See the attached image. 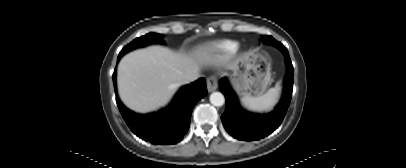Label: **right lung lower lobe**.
Returning <instances> with one entry per match:
<instances>
[{
	"label": "right lung lower lobe",
	"instance_id": "98d812e1",
	"mask_svg": "<svg viewBox=\"0 0 406 168\" xmlns=\"http://www.w3.org/2000/svg\"><path fill=\"white\" fill-rule=\"evenodd\" d=\"M113 81L116 85V69ZM206 94V81L200 78L182 86L169 105L156 112L139 114L124 106L118 97L116 101L125 122L138 137L152 144H175L188 131L193 107Z\"/></svg>",
	"mask_w": 406,
	"mask_h": 168
}]
</instances>
